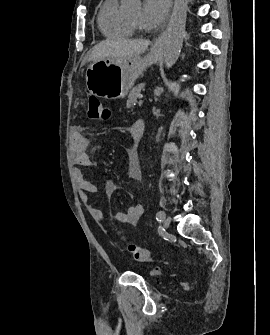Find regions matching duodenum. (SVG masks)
Returning <instances> with one entry per match:
<instances>
[{"instance_id":"410a0bca","label":"duodenum","mask_w":270,"mask_h":335,"mask_svg":"<svg viewBox=\"0 0 270 335\" xmlns=\"http://www.w3.org/2000/svg\"><path fill=\"white\" fill-rule=\"evenodd\" d=\"M145 131V123L142 120L135 122L133 126V135L136 140H140L143 137Z\"/></svg>"}]
</instances>
